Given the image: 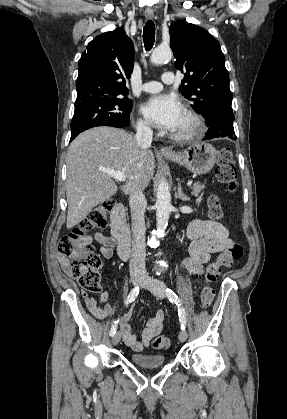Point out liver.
Instances as JSON below:
<instances>
[{
    "mask_svg": "<svg viewBox=\"0 0 287 419\" xmlns=\"http://www.w3.org/2000/svg\"><path fill=\"white\" fill-rule=\"evenodd\" d=\"M66 227L76 226L97 205L117 193L109 169L125 174L124 193L135 186L144 189L154 175L155 158L148 148L141 149L135 138L122 129L95 127L79 134L67 151Z\"/></svg>",
    "mask_w": 287,
    "mask_h": 419,
    "instance_id": "1",
    "label": "liver"
}]
</instances>
